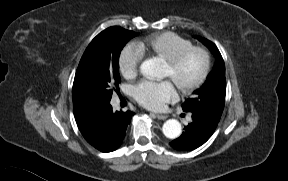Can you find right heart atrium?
I'll list each match as a JSON object with an SVG mask.
<instances>
[{
  "instance_id": "d8ad5b80",
  "label": "right heart atrium",
  "mask_w": 288,
  "mask_h": 181,
  "mask_svg": "<svg viewBox=\"0 0 288 181\" xmlns=\"http://www.w3.org/2000/svg\"><path fill=\"white\" fill-rule=\"evenodd\" d=\"M143 54L134 44L123 48L118 57V68L120 73L127 79H133L138 74Z\"/></svg>"
}]
</instances>
